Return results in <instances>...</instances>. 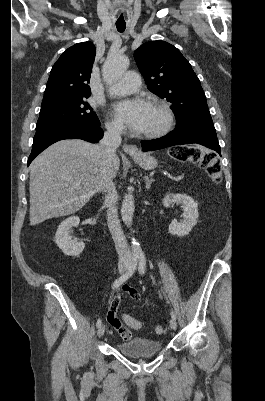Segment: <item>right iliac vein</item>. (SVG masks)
Here are the masks:
<instances>
[{
	"label": "right iliac vein",
	"instance_id": "obj_1",
	"mask_svg": "<svg viewBox=\"0 0 265 401\" xmlns=\"http://www.w3.org/2000/svg\"><path fill=\"white\" fill-rule=\"evenodd\" d=\"M129 267H130L129 263L121 262L118 265V272L121 274V273L125 272L127 269H129ZM104 332H105V326L104 325H100L99 328H98V331H97V335L99 337H102Z\"/></svg>",
	"mask_w": 265,
	"mask_h": 401
}]
</instances>
